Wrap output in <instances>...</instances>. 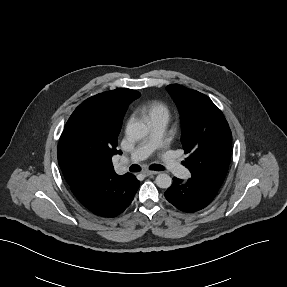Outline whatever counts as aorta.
<instances>
[{
	"mask_svg": "<svg viewBox=\"0 0 287 287\" xmlns=\"http://www.w3.org/2000/svg\"><path fill=\"white\" fill-rule=\"evenodd\" d=\"M127 136L132 140H141L148 134V127L142 122H133L127 125ZM155 183L158 187L167 189L172 184V178L166 173H160L155 179Z\"/></svg>",
	"mask_w": 287,
	"mask_h": 287,
	"instance_id": "762f6f07",
	"label": "aorta"
}]
</instances>
